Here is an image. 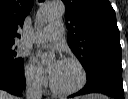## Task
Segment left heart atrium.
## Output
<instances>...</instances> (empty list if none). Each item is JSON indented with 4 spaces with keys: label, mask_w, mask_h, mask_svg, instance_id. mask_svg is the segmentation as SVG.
Here are the masks:
<instances>
[{
    "label": "left heart atrium",
    "mask_w": 128,
    "mask_h": 99,
    "mask_svg": "<svg viewBox=\"0 0 128 99\" xmlns=\"http://www.w3.org/2000/svg\"><path fill=\"white\" fill-rule=\"evenodd\" d=\"M61 63H62V60H61V59H57V60L50 66V68L48 69V71H47V72H48V76H49V78H50L51 80L55 77V75H56V73H57V71H58V69H59Z\"/></svg>",
    "instance_id": "left-heart-atrium-1"
}]
</instances>
